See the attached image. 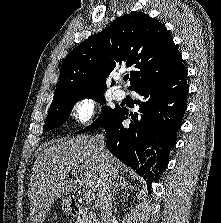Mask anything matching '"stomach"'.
I'll use <instances>...</instances> for the list:
<instances>
[{"instance_id": "stomach-1", "label": "stomach", "mask_w": 221, "mask_h": 223, "mask_svg": "<svg viewBox=\"0 0 221 223\" xmlns=\"http://www.w3.org/2000/svg\"><path fill=\"white\" fill-rule=\"evenodd\" d=\"M61 206H62V210L65 213H70L71 212V202H70V199L68 197L63 199V201L61 203Z\"/></svg>"}]
</instances>
